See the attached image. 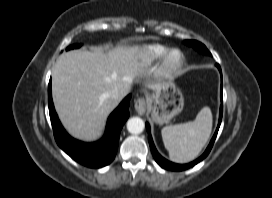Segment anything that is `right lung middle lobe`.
Wrapping results in <instances>:
<instances>
[{"instance_id": "right-lung-middle-lobe-1", "label": "right lung middle lobe", "mask_w": 272, "mask_h": 198, "mask_svg": "<svg viewBox=\"0 0 272 198\" xmlns=\"http://www.w3.org/2000/svg\"><path fill=\"white\" fill-rule=\"evenodd\" d=\"M78 47H80V45H78V44L70 45L69 47H67V50L78 48Z\"/></svg>"}]
</instances>
